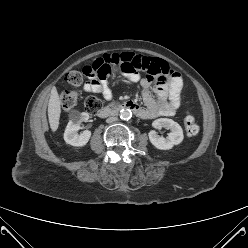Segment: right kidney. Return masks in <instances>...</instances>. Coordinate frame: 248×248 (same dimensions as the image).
I'll return each instance as SVG.
<instances>
[{"label":"right kidney","mask_w":248,"mask_h":248,"mask_svg":"<svg viewBox=\"0 0 248 248\" xmlns=\"http://www.w3.org/2000/svg\"><path fill=\"white\" fill-rule=\"evenodd\" d=\"M89 119L88 113L74 114L67 124L64 132V140L72 146H84L87 144L91 137V131L85 130L78 134L80 123Z\"/></svg>","instance_id":"right-kidney-1"}]
</instances>
